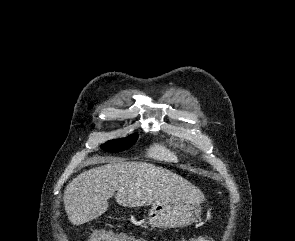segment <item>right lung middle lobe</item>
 <instances>
[{
	"mask_svg": "<svg viewBox=\"0 0 295 241\" xmlns=\"http://www.w3.org/2000/svg\"><path fill=\"white\" fill-rule=\"evenodd\" d=\"M138 139V135L134 134L124 139L112 140L103 144L101 148L107 152H120L130 148Z\"/></svg>",
	"mask_w": 295,
	"mask_h": 241,
	"instance_id": "dd1d6c3e",
	"label": "right lung middle lobe"
}]
</instances>
